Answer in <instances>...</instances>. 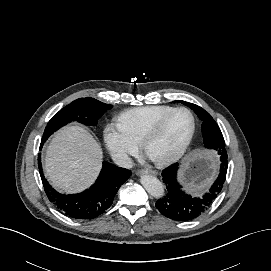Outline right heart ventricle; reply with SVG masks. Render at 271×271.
Returning <instances> with one entry per match:
<instances>
[{"label":"right heart ventricle","instance_id":"e07e8e85","mask_svg":"<svg viewBox=\"0 0 271 271\" xmlns=\"http://www.w3.org/2000/svg\"><path fill=\"white\" fill-rule=\"evenodd\" d=\"M173 108L168 105H153L129 109L118 117V126L138 144L144 134Z\"/></svg>","mask_w":271,"mask_h":271}]
</instances>
